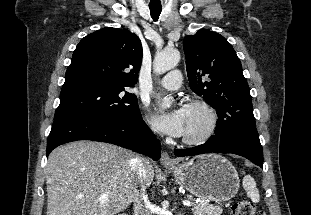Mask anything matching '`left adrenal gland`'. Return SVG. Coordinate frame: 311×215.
I'll list each match as a JSON object with an SVG mask.
<instances>
[{
  "mask_svg": "<svg viewBox=\"0 0 311 215\" xmlns=\"http://www.w3.org/2000/svg\"><path fill=\"white\" fill-rule=\"evenodd\" d=\"M179 215H184V214L180 212Z\"/></svg>",
  "mask_w": 311,
  "mask_h": 215,
  "instance_id": "left-adrenal-gland-1",
  "label": "left adrenal gland"
}]
</instances>
